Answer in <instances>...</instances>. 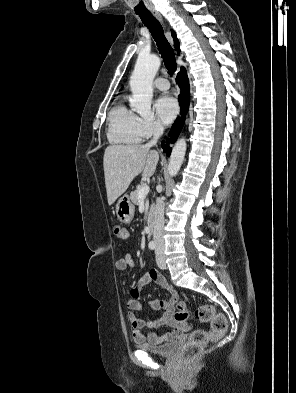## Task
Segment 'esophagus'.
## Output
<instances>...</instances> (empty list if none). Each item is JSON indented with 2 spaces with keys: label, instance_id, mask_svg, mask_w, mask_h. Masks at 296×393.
Returning <instances> with one entry per match:
<instances>
[{
  "label": "esophagus",
  "instance_id": "obj_1",
  "mask_svg": "<svg viewBox=\"0 0 296 393\" xmlns=\"http://www.w3.org/2000/svg\"><path fill=\"white\" fill-rule=\"evenodd\" d=\"M151 13H152L161 23L164 24L163 17H162V15H161L158 11H156V10L153 9V10H151ZM167 36H168L169 41L172 42L171 35L168 33Z\"/></svg>",
  "mask_w": 296,
  "mask_h": 393
}]
</instances>
